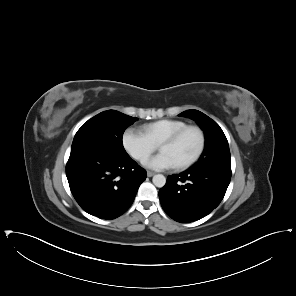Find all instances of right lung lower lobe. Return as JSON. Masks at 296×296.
Masks as SVG:
<instances>
[{
  "instance_id": "obj_1",
  "label": "right lung lower lobe",
  "mask_w": 296,
  "mask_h": 296,
  "mask_svg": "<svg viewBox=\"0 0 296 296\" xmlns=\"http://www.w3.org/2000/svg\"><path fill=\"white\" fill-rule=\"evenodd\" d=\"M66 175L81 208L102 219L122 215L147 177L129 155L115 157L97 150L71 152Z\"/></svg>"
}]
</instances>
